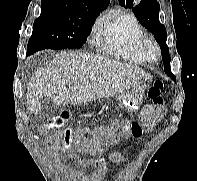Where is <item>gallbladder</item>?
I'll return each instance as SVG.
<instances>
[{"instance_id":"bac80fb5","label":"gallbladder","mask_w":197,"mask_h":181,"mask_svg":"<svg viewBox=\"0 0 197 181\" xmlns=\"http://www.w3.org/2000/svg\"><path fill=\"white\" fill-rule=\"evenodd\" d=\"M54 107V103L48 98H44L42 100V107L39 112H41L42 115H45L49 110H52Z\"/></svg>"}]
</instances>
